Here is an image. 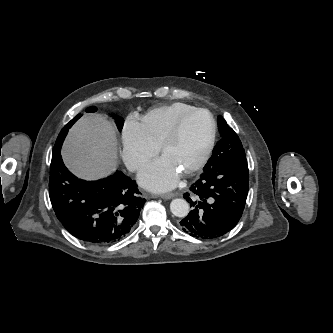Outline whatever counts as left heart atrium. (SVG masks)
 <instances>
[{
	"label": "left heart atrium",
	"instance_id": "39dd6f15",
	"mask_svg": "<svg viewBox=\"0 0 333 333\" xmlns=\"http://www.w3.org/2000/svg\"><path fill=\"white\" fill-rule=\"evenodd\" d=\"M180 172L164 156L147 165L139 174L142 186L155 192H165L176 186Z\"/></svg>",
	"mask_w": 333,
	"mask_h": 333
}]
</instances>
